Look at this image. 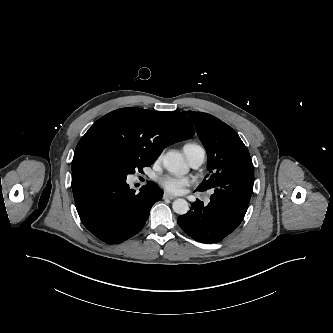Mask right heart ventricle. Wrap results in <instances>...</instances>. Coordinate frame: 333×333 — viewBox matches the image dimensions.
Instances as JSON below:
<instances>
[{"mask_svg": "<svg viewBox=\"0 0 333 333\" xmlns=\"http://www.w3.org/2000/svg\"><path fill=\"white\" fill-rule=\"evenodd\" d=\"M201 148L199 145L195 144V143H187L184 145L183 150L186 156H188L191 152H193L194 150Z\"/></svg>", "mask_w": 333, "mask_h": 333, "instance_id": "e07e8e85", "label": "right heart ventricle"}]
</instances>
